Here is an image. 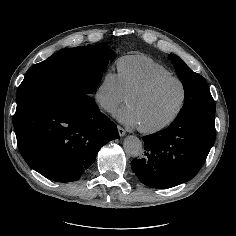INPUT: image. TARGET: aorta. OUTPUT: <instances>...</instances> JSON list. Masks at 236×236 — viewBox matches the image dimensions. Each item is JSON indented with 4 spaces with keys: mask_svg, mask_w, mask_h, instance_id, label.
<instances>
[{
    "mask_svg": "<svg viewBox=\"0 0 236 236\" xmlns=\"http://www.w3.org/2000/svg\"><path fill=\"white\" fill-rule=\"evenodd\" d=\"M123 147L126 155L130 157H139L143 153V145L141 140L133 135L124 139Z\"/></svg>",
    "mask_w": 236,
    "mask_h": 236,
    "instance_id": "obj_1",
    "label": "aorta"
}]
</instances>
